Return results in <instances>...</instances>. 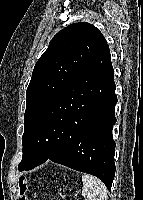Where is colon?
Segmentation results:
<instances>
[{
	"label": "colon",
	"instance_id": "5ec220e1",
	"mask_svg": "<svg viewBox=\"0 0 143 200\" xmlns=\"http://www.w3.org/2000/svg\"><path fill=\"white\" fill-rule=\"evenodd\" d=\"M18 189L20 193V200H26L25 193L27 191V179L23 176L19 178Z\"/></svg>",
	"mask_w": 143,
	"mask_h": 200
}]
</instances>
